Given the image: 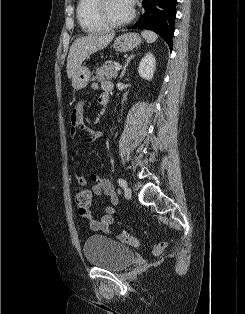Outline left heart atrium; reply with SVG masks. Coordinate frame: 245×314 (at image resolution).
<instances>
[{
	"label": "left heart atrium",
	"instance_id": "left-heart-atrium-1",
	"mask_svg": "<svg viewBox=\"0 0 245 314\" xmlns=\"http://www.w3.org/2000/svg\"><path fill=\"white\" fill-rule=\"evenodd\" d=\"M131 7L133 6L134 0H125Z\"/></svg>",
	"mask_w": 245,
	"mask_h": 314
}]
</instances>
